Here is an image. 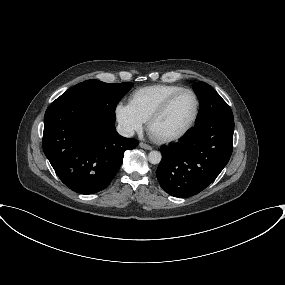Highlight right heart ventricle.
<instances>
[{"mask_svg":"<svg viewBox=\"0 0 285 285\" xmlns=\"http://www.w3.org/2000/svg\"><path fill=\"white\" fill-rule=\"evenodd\" d=\"M182 89L176 85L157 84L139 88L131 93L129 104L145 122L151 113L171 94Z\"/></svg>","mask_w":285,"mask_h":285,"instance_id":"e07e8e85","label":"right heart ventricle"}]
</instances>
